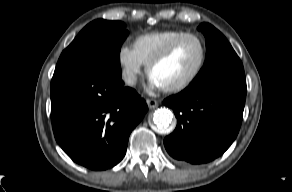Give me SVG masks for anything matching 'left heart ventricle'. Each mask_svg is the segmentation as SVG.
<instances>
[{"label": "left heart ventricle", "instance_id": "left-heart-ventricle-1", "mask_svg": "<svg viewBox=\"0 0 292 192\" xmlns=\"http://www.w3.org/2000/svg\"><path fill=\"white\" fill-rule=\"evenodd\" d=\"M200 57L199 43L195 39L187 38L177 46L170 57L152 68L150 77L162 87L177 84L193 73Z\"/></svg>", "mask_w": 292, "mask_h": 192}]
</instances>
